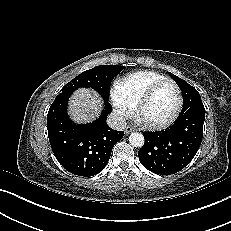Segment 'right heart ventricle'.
I'll list each match as a JSON object with an SVG mask.
<instances>
[{"mask_svg":"<svg viewBox=\"0 0 231 231\" xmlns=\"http://www.w3.org/2000/svg\"><path fill=\"white\" fill-rule=\"evenodd\" d=\"M163 79L164 76L154 71H140L120 81L115 88V94L121 102L133 108L152 85Z\"/></svg>","mask_w":231,"mask_h":231,"instance_id":"1","label":"right heart ventricle"}]
</instances>
